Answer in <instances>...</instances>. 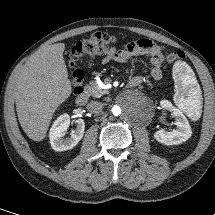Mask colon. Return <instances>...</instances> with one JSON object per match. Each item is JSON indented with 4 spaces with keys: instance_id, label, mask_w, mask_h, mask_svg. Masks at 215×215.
Segmentation results:
<instances>
[{
    "instance_id": "5ec220e1",
    "label": "colon",
    "mask_w": 215,
    "mask_h": 215,
    "mask_svg": "<svg viewBox=\"0 0 215 215\" xmlns=\"http://www.w3.org/2000/svg\"><path fill=\"white\" fill-rule=\"evenodd\" d=\"M116 43L113 36L104 33H94L86 39L78 41L72 49L73 58H87L107 52L111 45ZM185 56L182 52H172L167 55L168 62H174L183 59ZM72 67V84L73 94L78 95L82 91L83 74L81 71L73 68V61L70 63Z\"/></svg>"
}]
</instances>
